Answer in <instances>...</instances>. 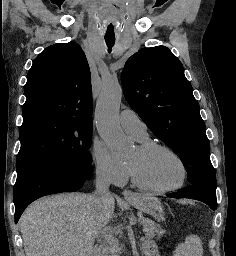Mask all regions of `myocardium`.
I'll list each match as a JSON object with an SVG mask.
<instances>
[{
  "label": "myocardium",
  "mask_w": 236,
  "mask_h": 256,
  "mask_svg": "<svg viewBox=\"0 0 236 256\" xmlns=\"http://www.w3.org/2000/svg\"><path fill=\"white\" fill-rule=\"evenodd\" d=\"M137 150L139 151V153L141 155H149L156 151H165V152L170 153L179 161V163L182 167V177H181L180 181L175 185H172L169 187H154V186H151L148 183H146L141 178L139 172L137 171V169L134 166L127 163L131 180L136 187H138L139 189H141L145 192H148V193L161 194V193H167V192L177 190L184 185V183L187 180V176H188V168H187L186 162L184 161L182 156L178 152H176L174 149H172L169 146L164 145V144H160V143H156V142H146V143L139 145L137 147Z\"/></svg>",
  "instance_id": "obj_1"
}]
</instances>
